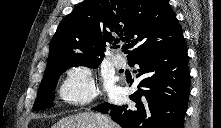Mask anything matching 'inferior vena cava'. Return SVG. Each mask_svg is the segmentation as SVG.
Instances as JSON below:
<instances>
[{
	"label": "inferior vena cava",
	"mask_w": 221,
	"mask_h": 128,
	"mask_svg": "<svg viewBox=\"0 0 221 128\" xmlns=\"http://www.w3.org/2000/svg\"><path fill=\"white\" fill-rule=\"evenodd\" d=\"M97 120H98V123L100 125L99 126L100 128H109L107 117H105L101 114H97Z\"/></svg>",
	"instance_id": "602c4592"
}]
</instances>
